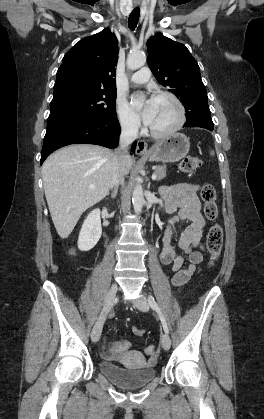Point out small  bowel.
Listing matches in <instances>:
<instances>
[{
	"label": "small bowel",
	"instance_id": "small-bowel-1",
	"mask_svg": "<svg viewBox=\"0 0 264 419\" xmlns=\"http://www.w3.org/2000/svg\"><path fill=\"white\" fill-rule=\"evenodd\" d=\"M199 185L182 182L161 187V196L168 213L178 212L170 219L165 230L160 259L162 264L168 266L172 273V284L180 288L187 283L195 273L197 267L204 260V246L202 236L207 221L201 214V202L198 197ZM179 220L190 221V225L183 231L179 241L177 253L172 245V226ZM185 260L188 261L184 265ZM136 336H143L144 330L136 326L132 327ZM130 343L127 341L110 343L104 341L102 352L110 360H119L130 354Z\"/></svg>",
	"mask_w": 264,
	"mask_h": 419
}]
</instances>
